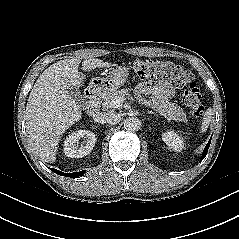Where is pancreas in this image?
<instances>
[{"label": "pancreas", "instance_id": "obj_1", "mask_svg": "<svg viewBox=\"0 0 239 239\" xmlns=\"http://www.w3.org/2000/svg\"><path fill=\"white\" fill-rule=\"evenodd\" d=\"M126 95H128V93H127V90L125 89L111 90L102 94L100 102L103 107L107 109H114V107L111 104L112 100L117 97L125 98ZM148 106L156 110L160 114L167 116L171 120L187 122V117H186V114L183 112V109L180 108L175 103L168 102L165 100H160L159 102L155 104L149 102Z\"/></svg>", "mask_w": 239, "mask_h": 239}]
</instances>
